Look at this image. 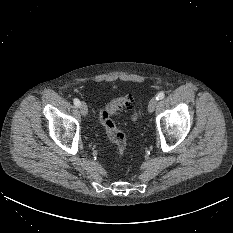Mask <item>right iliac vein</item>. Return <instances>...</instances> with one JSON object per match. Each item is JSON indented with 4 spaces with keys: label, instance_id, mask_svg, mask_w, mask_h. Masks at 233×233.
<instances>
[{
    "label": "right iliac vein",
    "instance_id": "right-iliac-vein-1",
    "mask_svg": "<svg viewBox=\"0 0 233 233\" xmlns=\"http://www.w3.org/2000/svg\"><path fill=\"white\" fill-rule=\"evenodd\" d=\"M80 112H81L82 116H86L87 115V113H88V107H87V105H86L85 102H81L80 103Z\"/></svg>",
    "mask_w": 233,
    "mask_h": 233
}]
</instances>
